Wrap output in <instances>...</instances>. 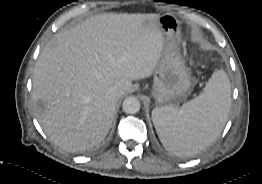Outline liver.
<instances>
[{
  "label": "liver",
  "mask_w": 262,
  "mask_h": 184,
  "mask_svg": "<svg viewBox=\"0 0 262 184\" xmlns=\"http://www.w3.org/2000/svg\"><path fill=\"white\" fill-rule=\"evenodd\" d=\"M158 14L104 13L56 34L42 50L33 74L36 118L49 139L66 151L101 143L116 104L133 80L150 77L165 49ZM118 98V99H119Z\"/></svg>",
  "instance_id": "6515ba94"
}]
</instances>
